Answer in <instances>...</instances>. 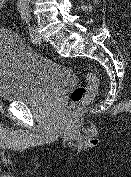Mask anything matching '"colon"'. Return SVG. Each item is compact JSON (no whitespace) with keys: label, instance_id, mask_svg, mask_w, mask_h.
I'll use <instances>...</instances> for the list:
<instances>
[{"label":"colon","instance_id":"obj_1","mask_svg":"<svg viewBox=\"0 0 131 177\" xmlns=\"http://www.w3.org/2000/svg\"><path fill=\"white\" fill-rule=\"evenodd\" d=\"M8 0H0V12L7 7ZM85 86L75 87L70 95V110L75 111L88 104L95 97L99 88V80L91 71H85Z\"/></svg>","mask_w":131,"mask_h":177}]
</instances>
